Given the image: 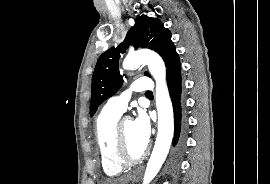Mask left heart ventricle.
<instances>
[{
  "mask_svg": "<svg viewBox=\"0 0 270 184\" xmlns=\"http://www.w3.org/2000/svg\"><path fill=\"white\" fill-rule=\"evenodd\" d=\"M124 134L130 155H140L145 149L147 143L139 137L132 120H128L124 123Z\"/></svg>",
  "mask_w": 270,
  "mask_h": 184,
  "instance_id": "b2bd125f",
  "label": "left heart ventricle"
}]
</instances>
